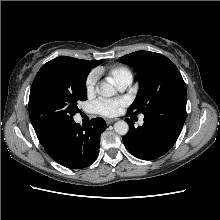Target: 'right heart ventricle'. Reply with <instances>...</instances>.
Wrapping results in <instances>:
<instances>
[{
    "label": "right heart ventricle",
    "instance_id": "1",
    "mask_svg": "<svg viewBox=\"0 0 220 220\" xmlns=\"http://www.w3.org/2000/svg\"><path fill=\"white\" fill-rule=\"evenodd\" d=\"M109 76L112 78L113 82L116 84L122 78H132V72L130 69L124 66H114L108 70Z\"/></svg>",
    "mask_w": 220,
    "mask_h": 220
}]
</instances>
